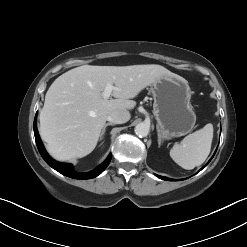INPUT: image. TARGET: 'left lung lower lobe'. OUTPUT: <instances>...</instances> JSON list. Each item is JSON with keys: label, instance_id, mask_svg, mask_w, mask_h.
Returning a JSON list of instances; mask_svg holds the SVG:
<instances>
[{"label": "left lung lower lobe", "instance_id": "left-lung-lower-lobe-1", "mask_svg": "<svg viewBox=\"0 0 247 247\" xmlns=\"http://www.w3.org/2000/svg\"><path fill=\"white\" fill-rule=\"evenodd\" d=\"M209 163V162H208ZM207 163V164H208ZM160 179H163V180H167V181H176L174 179H170V178H167V177H163V176H158Z\"/></svg>", "mask_w": 247, "mask_h": 247}]
</instances>
